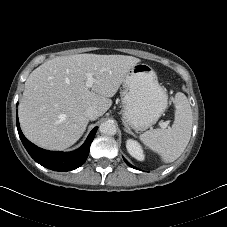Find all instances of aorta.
Returning <instances> with one entry per match:
<instances>
[{"mask_svg": "<svg viewBox=\"0 0 227 227\" xmlns=\"http://www.w3.org/2000/svg\"><path fill=\"white\" fill-rule=\"evenodd\" d=\"M99 130L105 135H115L117 132L116 124L113 121H104L100 124Z\"/></svg>", "mask_w": 227, "mask_h": 227, "instance_id": "1", "label": "aorta"}]
</instances>
